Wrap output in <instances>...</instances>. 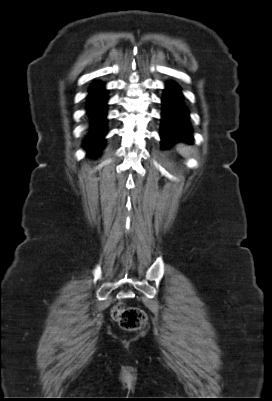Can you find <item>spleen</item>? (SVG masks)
<instances>
[{"instance_id":"3e777b00","label":"spleen","mask_w":272,"mask_h":401,"mask_svg":"<svg viewBox=\"0 0 272 401\" xmlns=\"http://www.w3.org/2000/svg\"><path fill=\"white\" fill-rule=\"evenodd\" d=\"M177 150L179 151V153L183 156H188L189 155V149L188 147H186L183 144H179L177 145Z\"/></svg>"}]
</instances>
